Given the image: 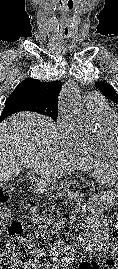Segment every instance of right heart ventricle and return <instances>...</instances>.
I'll list each match as a JSON object with an SVG mask.
<instances>
[{"label":"right heart ventricle","mask_w":118,"mask_h":269,"mask_svg":"<svg viewBox=\"0 0 118 269\" xmlns=\"http://www.w3.org/2000/svg\"><path fill=\"white\" fill-rule=\"evenodd\" d=\"M91 113L97 122V128L91 134H87L85 140L78 146L79 150L85 154L118 158V154L112 149L106 129L108 122L118 114L108 105L92 110Z\"/></svg>","instance_id":"obj_1"}]
</instances>
